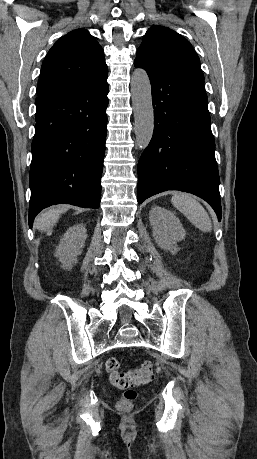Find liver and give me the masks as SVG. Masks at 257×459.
<instances>
[{
  "mask_svg": "<svg viewBox=\"0 0 257 459\" xmlns=\"http://www.w3.org/2000/svg\"><path fill=\"white\" fill-rule=\"evenodd\" d=\"M60 212V208H55L41 213L35 221L37 229L41 232L50 233L59 219Z\"/></svg>",
  "mask_w": 257,
  "mask_h": 459,
  "instance_id": "1",
  "label": "liver"
}]
</instances>
